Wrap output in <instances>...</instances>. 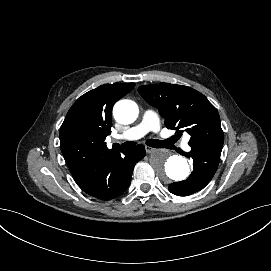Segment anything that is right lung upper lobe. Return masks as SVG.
Returning <instances> with one entry per match:
<instances>
[{"instance_id":"obj_1","label":"right lung upper lobe","mask_w":271,"mask_h":271,"mask_svg":"<svg viewBox=\"0 0 271 271\" xmlns=\"http://www.w3.org/2000/svg\"><path fill=\"white\" fill-rule=\"evenodd\" d=\"M134 86L101 85L82 95L69 109L60 128V148L72 176L109 150L105 138L111 131L113 105Z\"/></svg>"}]
</instances>
